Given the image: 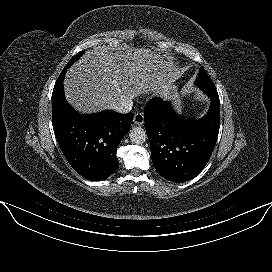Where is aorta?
Segmentation results:
<instances>
[{
	"label": "aorta",
	"mask_w": 272,
	"mask_h": 272,
	"mask_svg": "<svg viewBox=\"0 0 272 272\" xmlns=\"http://www.w3.org/2000/svg\"><path fill=\"white\" fill-rule=\"evenodd\" d=\"M129 138L134 144H143L147 139V134L142 127H133L129 131Z\"/></svg>",
	"instance_id": "aorta-1"
}]
</instances>
